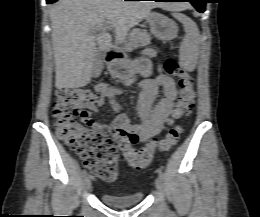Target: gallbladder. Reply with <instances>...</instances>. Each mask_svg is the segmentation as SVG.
<instances>
[{
	"mask_svg": "<svg viewBox=\"0 0 260 217\" xmlns=\"http://www.w3.org/2000/svg\"><path fill=\"white\" fill-rule=\"evenodd\" d=\"M103 70V60H102V54L99 50H96V54L92 63L91 68V75L94 78H97L101 75Z\"/></svg>",
	"mask_w": 260,
	"mask_h": 217,
	"instance_id": "1",
	"label": "gallbladder"
}]
</instances>
